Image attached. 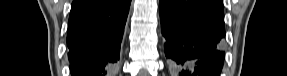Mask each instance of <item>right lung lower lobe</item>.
I'll return each mask as SVG.
<instances>
[{
  "label": "right lung lower lobe",
  "instance_id": "right-lung-lower-lobe-1",
  "mask_svg": "<svg viewBox=\"0 0 287 76\" xmlns=\"http://www.w3.org/2000/svg\"><path fill=\"white\" fill-rule=\"evenodd\" d=\"M130 0H74L67 47L72 76H111Z\"/></svg>",
  "mask_w": 287,
  "mask_h": 76
}]
</instances>
